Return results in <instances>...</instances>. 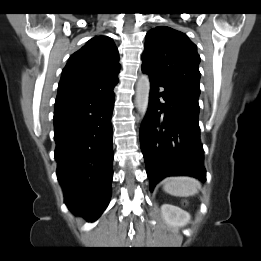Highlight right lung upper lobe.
Listing matches in <instances>:
<instances>
[{
  "mask_svg": "<svg viewBox=\"0 0 261 261\" xmlns=\"http://www.w3.org/2000/svg\"><path fill=\"white\" fill-rule=\"evenodd\" d=\"M118 50L110 37L96 36L69 58L56 100L113 88L118 81Z\"/></svg>",
  "mask_w": 261,
  "mask_h": 261,
  "instance_id": "1",
  "label": "right lung upper lobe"
}]
</instances>
